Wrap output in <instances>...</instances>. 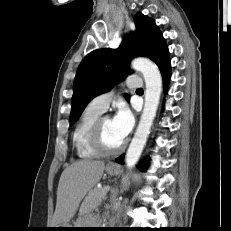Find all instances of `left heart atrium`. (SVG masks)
<instances>
[{"mask_svg":"<svg viewBox=\"0 0 231 231\" xmlns=\"http://www.w3.org/2000/svg\"><path fill=\"white\" fill-rule=\"evenodd\" d=\"M113 126L120 136V138L124 141L134 126V117L131 111L125 107L120 106L117 113L112 119Z\"/></svg>","mask_w":231,"mask_h":231,"instance_id":"left-heart-atrium-1","label":"left heart atrium"}]
</instances>
